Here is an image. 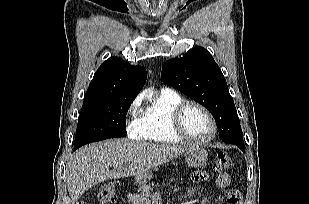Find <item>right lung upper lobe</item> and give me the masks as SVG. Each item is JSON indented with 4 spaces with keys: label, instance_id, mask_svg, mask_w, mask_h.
I'll list each match as a JSON object with an SVG mask.
<instances>
[{
    "label": "right lung upper lobe",
    "instance_id": "cb5924a9",
    "mask_svg": "<svg viewBox=\"0 0 309 204\" xmlns=\"http://www.w3.org/2000/svg\"><path fill=\"white\" fill-rule=\"evenodd\" d=\"M146 75L144 67L111 57L96 71L83 104L112 98L135 99L145 84Z\"/></svg>",
    "mask_w": 309,
    "mask_h": 204
}]
</instances>
